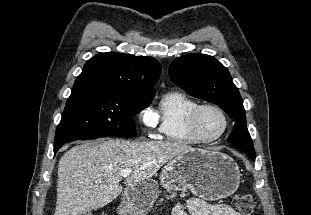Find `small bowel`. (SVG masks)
I'll return each mask as SVG.
<instances>
[{"label":"small bowel","mask_w":311,"mask_h":215,"mask_svg":"<svg viewBox=\"0 0 311 215\" xmlns=\"http://www.w3.org/2000/svg\"><path fill=\"white\" fill-rule=\"evenodd\" d=\"M172 215H241L227 204H209L199 198H191L174 206Z\"/></svg>","instance_id":"small-bowel-1"}]
</instances>
